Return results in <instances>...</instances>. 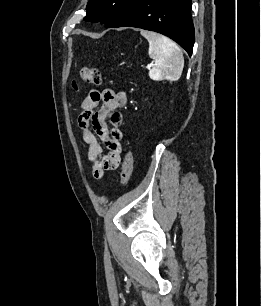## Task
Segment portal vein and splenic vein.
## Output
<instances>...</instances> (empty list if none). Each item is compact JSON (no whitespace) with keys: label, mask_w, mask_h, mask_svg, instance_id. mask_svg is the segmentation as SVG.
<instances>
[{"label":"portal vein and splenic vein","mask_w":261,"mask_h":306,"mask_svg":"<svg viewBox=\"0 0 261 306\" xmlns=\"http://www.w3.org/2000/svg\"><path fill=\"white\" fill-rule=\"evenodd\" d=\"M153 66V64H147L146 68L150 69Z\"/></svg>","instance_id":"portal-vein-and-splenic-vein-1"}]
</instances>
